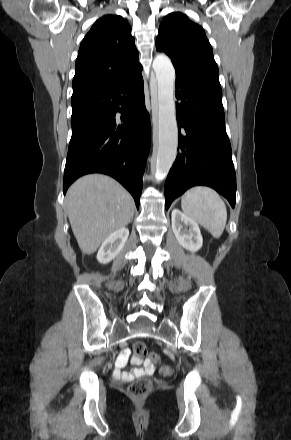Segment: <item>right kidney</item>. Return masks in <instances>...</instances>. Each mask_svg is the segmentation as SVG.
Segmentation results:
<instances>
[{
  "mask_svg": "<svg viewBox=\"0 0 291 440\" xmlns=\"http://www.w3.org/2000/svg\"><path fill=\"white\" fill-rule=\"evenodd\" d=\"M129 236V230L125 227L112 233L101 245L97 260L106 264L113 260L124 247Z\"/></svg>",
  "mask_w": 291,
  "mask_h": 440,
  "instance_id": "obj_1",
  "label": "right kidney"
}]
</instances>
